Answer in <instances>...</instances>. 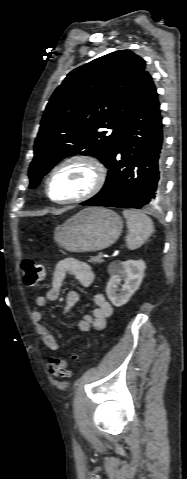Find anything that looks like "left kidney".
<instances>
[{"label": "left kidney", "mask_w": 187, "mask_h": 479, "mask_svg": "<svg viewBox=\"0 0 187 479\" xmlns=\"http://www.w3.org/2000/svg\"><path fill=\"white\" fill-rule=\"evenodd\" d=\"M146 264L143 260L113 261L108 266L110 279L106 286V294L111 303L120 307L126 304L131 296L138 290ZM124 280V284L119 285ZM120 291V294H117Z\"/></svg>", "instance_id": "left-kidney-1"}]
</instances>
